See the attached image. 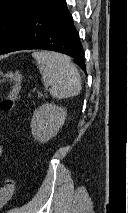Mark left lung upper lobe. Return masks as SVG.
<instances>
[{
  "instance_id": "5c2ea615",
  "label": "left lung upper lobe",
  "mask_w": 128,
  "mask_h": 213,
  "mask_svg": "<svg viewBox=\"0 0 128 213\" xmlns=\"http://www.w3.org/2000/svg\"><path fill=\"white\" fill-rule=\"evenodd\" d=\"M39 0H0V54Z\"/></svg>"
}]
</instances>
